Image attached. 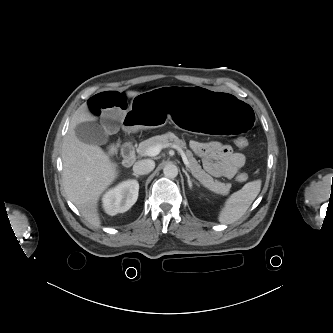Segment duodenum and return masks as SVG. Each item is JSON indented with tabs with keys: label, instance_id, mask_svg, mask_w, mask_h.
I'll use <instances>...</instances> for the list:
<instances>
[{
	"label": "duodenum",
	"instance_id": "duodenum-1",
	"mask_svg": "<svg viewBox=\"0 0 333 333\" xmlns=\"http://www.w3.org/2000/svg\"><path fill=\"white\" fill-rule=\"evenodd\" d=\"M123 156V164L126 167H130L136 160L135 146L131 139H127L121 148Z\"/></svg>",
	"mask_w": 333,
	"mask_h": 333
}]
</instances>
